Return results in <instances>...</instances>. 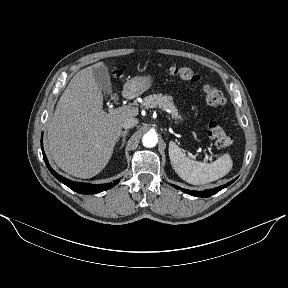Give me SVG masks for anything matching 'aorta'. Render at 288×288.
<instances>
[{
    "label": "aorta",
    "instance_id": "762f6f07",
    "mask_svg": "<svg viewBox=\"0 0 288 288\" xmlns=\"http://www.w3.org/2000/svg\"><path fill=\"white\" fill-rule=\"evenodd\" d=\"M142 142L145 147L152 148L157 144L158 137L155 133L148 132L143 136Z\"/></svg>",
    "mask_w": 288,
    "mask_h": 288
}]
</instances>
